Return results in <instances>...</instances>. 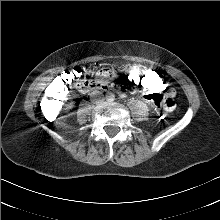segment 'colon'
Segmentation results:
<instances>
[{
	"instance_id": "colon-1",
	"label": "colon",
	"mask_w": 220,
	"mask_h": 220,
	"mask_svg": "<svg viewBox=\"0 0 220 220\" xmlns=\"http://www.w3.org/2000/svg\"><path fill=\"white\" fill-rule=\"evenodd\" d=\"M88 71L86 67H75L69 71H65L58 77L51 86V94L45 100L44 112H57L60 109L62 98L65 94L66 84L76 78L84 77ZM98 77V76H97ZM123 77L129 86L142 92L153 93L148 96V101L155 105L156 117L165 121L171 117L174 108V94L163 93L169 89L170 81L166 75L158 73L153 68H146L141 64H132L125 68ZM85 82V81H84ZM87 86V85H86Z\"/></svg>"
}]
</instances>
